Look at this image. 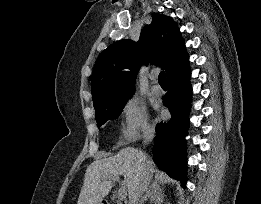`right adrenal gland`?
Masks as SVG:
<instances>
[{"instance_id":"right-adrenal-gland-1","label":"right adrenal gland","mask_w":261,"mask_h":204,"mask_svg":"<svg viewBox=\"0 0 261 204\" xmlns=\"http://www.w3.org/2000/svg\"><path fill=\"white\" fill-rule=\"evenodd\" d=\"M150 200L151 202H157L158 204L163 203L164 197L157 190L147 188L145 194L141 197L139 204H143L145 201Z\"/></svg>"}]
</instances>
